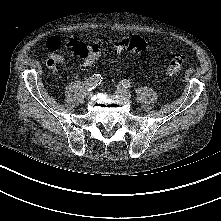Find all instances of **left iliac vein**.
<instances>
[{
    "instance_id": "obj_1",
    "label": "left iliac vein",
    "mask_w": 221,
    "mask_h": 221,
    "mask_svg": "<svg viewBox=\"0 0 221 221\" xmlns=\"http://www.w3.org/2000/svg\"><path fill=\"white\" fill-rule=\"evenodd\" d=\"M116 93L119 94L121 97H123L125 99H130L131 98L130 91L127 90L126 88L122 87V86H118L116 88Z\"/></svg>"
}]
</instances>
